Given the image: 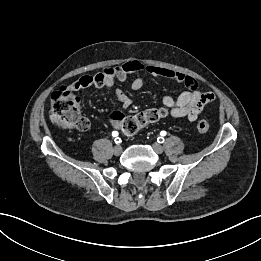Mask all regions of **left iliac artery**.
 <instances>
[{"mask_svg":"<svg viewBox=\"0 0 261 261\" xmlns=\"http://www.w3.org/2000/svg\"><path fill=\"white\" fill-rule=\"evenodd\" d=\"M161 137H158L157 141L158 143H163L164 142V137L166 135V131H161L160 133Z\"/></svg>","mask_w":261,"mask_h":261,"instance_id":"obj_1","label":"left iliac artery"}]
</instances>
